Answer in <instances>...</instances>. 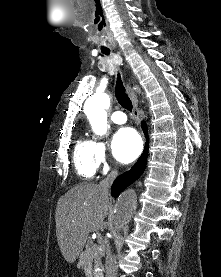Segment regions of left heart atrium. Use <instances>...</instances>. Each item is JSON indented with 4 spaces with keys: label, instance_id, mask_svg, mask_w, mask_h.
Here are the masks:
<instances>
[{
    "label": "left heart atrium",
    "instance_id": "obj_1",
    "mask_svg": "<svg viewBox=\"0 0 221 277\" xmlns=\"http://www.w3.org/2000/svg\"><path fill=\"white\" fill-rule=\"evenodd\" d=\"M142 141L138 133L130 127L119 129L112 140V153L122 163H130L138 157Z\"/></svg>",
    "mask_w": 221,
    "mask_h": 277
}]
</instances>
